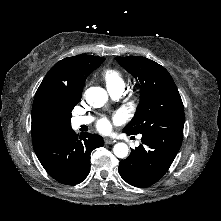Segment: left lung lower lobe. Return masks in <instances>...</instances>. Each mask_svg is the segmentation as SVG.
I'll return each instance as SVG.
<instances>
[{"instance_id":"left-lung-lower-lobe-1","label":"left lung lower lobe","mask_w":221,"mask_h":221,"mask_svg":"<svg viewBox=\"0 0 221 221\" xmlns=\"http://www.w3.org/2000/svg\"><path fill=\"white\" fill-rule=\"evenodd\" d=\"M142 144L131 150L119 163V174L130 185L147 187L156 183L167 172L182 142L144 136Z\"/></svg>"}]
</instances>
